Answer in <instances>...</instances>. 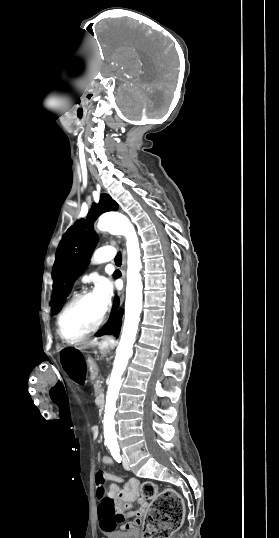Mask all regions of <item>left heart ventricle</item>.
I'll return each instance as SVG.
<instances>
[{"label":"left heart ventricle","mask_w":279,"mask_h":538,"mask_svg":"<svg viewBox=\"0 0 279 538\" xmlns=\"http://www.w3.org/2000/svg\"><path fill=\"white\" fill-rule=\"evenodd\" d=\"M103 310L95 294L74 304L62 319L64 337L74 340L89 331L96 324Z\"/></svg>","instance_id":"b2bd125f"}]
</instances>
